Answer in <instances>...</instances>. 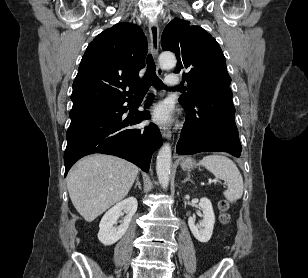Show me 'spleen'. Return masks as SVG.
<instances>
[{
  "mask_svg": "<svg viewBox=\"0 0 308 278\" xmlns=\"http://www.w3.org/2000/svg\"><path fill=\"white\" fill-rule=\"evenodd\" d=\"M208 171L218 179L227 183V190L224 191L225 198L233 203L243 195V178L236 164L226 156L213 154L205 156L200 162Z\"/></svg>",
  "mask_w": 308,
  "mask_h": 278,
  "instance_id": "obj_1",
  "label": "spleen"
}]
</instances>
